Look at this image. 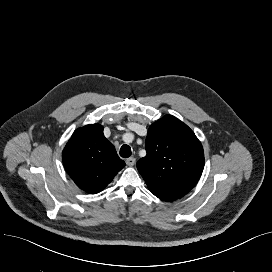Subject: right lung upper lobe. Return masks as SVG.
<instances>
[{"mask_svg": "<svg viewBox=\"0 0 272 272\" xmlns=\"http://www.w3.org/2000/svg\"><path fill=\"white\" fill-rule=\"evenodd\" d=\"M62 159L76 185L90 194L102 191L125 166L99 124L77 129L66 144Z\"/></svg>", "mask_w": 272, "mask_h": 272, "instance_id": "1", "label": "right lung upper lobe"}]
</instances>
